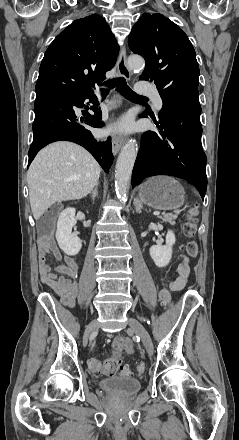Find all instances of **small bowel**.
<instances>
[{"label": "small bowel", "instance_id": "obj_1", "mask_svg": "<svg viewBox=\"0 0 239 440\" xmlns=\"http://www.w3.org/2000/svg\"><path fill=\"white\" fill-rule=\"evenodd\" d=\"M49 254H52L58 262L62 260V255L54 243L41 244L39 247L41 280L59 295L65 305L71 307L75 304L76 300V280L79 266L72 257L66 255L64 256V264L57 265L55 271H53L47 261ZM181 258L177 269L178 276L170 282L171 289L176 291L183 289L187 285L190 275V263L188 258L183 255Z\"/></svg>", "mask_w": 239, "mask_h": 440}]
</instances>
